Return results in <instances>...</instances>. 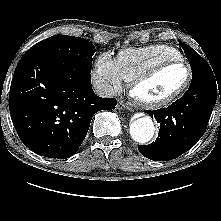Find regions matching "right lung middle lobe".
I'll return each mask as SVG.
<instances>
[{
	"label": "right lung middle lobe",
	"mask_w": 221,
	"mask_h": 221,
	"mask_svg": "<svg viewBox=\"0 0 221 221\" xmlns=\"http://www.w3.org/2000/svg\"><path fill=\"white\" fill-rule=\"evenodd\" d=\"M28 51L39 52L73 69L90 74L95 48L92 43L80 37L54 35L35 44Z\"/></svg>",
	"instance_id": "obj_1"
}]
</instances>
